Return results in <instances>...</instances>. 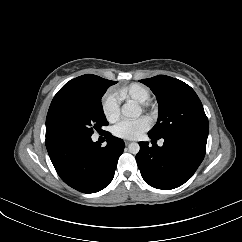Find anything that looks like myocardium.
Instances as JSON below:
<instances>
[{"mask_svg": "<svg viewBox=\"0 0 242 242\" xmlns=\"http://www.w3.org/2000/svg\"><path fill=\"white\" fill-rule=\"evenodd\" d=\"M141 112L146 114H152L153 110L150 108V105L148 103H143L139 105Z\"/></svg>", "mask_w": 242, "mask_h": 242, "instance_id": "f54148a6", "label": "myocardium"}]
</instances>
